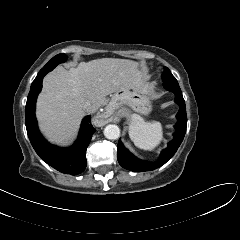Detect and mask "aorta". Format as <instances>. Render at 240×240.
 I'll return each instance as SVG.
<instances>
[{
  "mask_svg": "<svg viewBox=\"0 0 240 240\" xmlns=\"http://www.w3.org/2000/svg\"><path fill=\"white\" fill-rule=\"evenodd\" d=\"M104 136L110 140H116L120 136V129L115 124H109L104 128Z\"/></svg>",
  "mask_w": 240,
  "mask_h": 240,
  "instance_id": "762f6f07",
  "label": "aorta"
}]
</instances>
